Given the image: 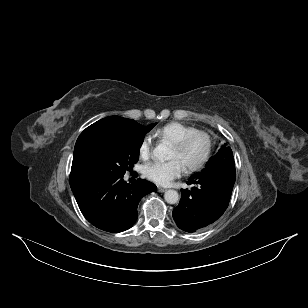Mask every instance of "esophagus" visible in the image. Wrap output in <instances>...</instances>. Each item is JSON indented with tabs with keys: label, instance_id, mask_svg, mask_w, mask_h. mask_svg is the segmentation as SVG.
<instances>
[{
	"label": "esophagus",
	"instance_id": "34e87169",
	"mask_svg": "<svg viewBox=\"0 0 308 308\" xmlns=\"http://www.w3.org/2000/svg\"><path fill=\"white\" fill-rule=\"evenodd\" d=\"M165 191H167L166 188L158 187V192L163 193V192H165Z\"/></svg>",
	"mask_w": 308,
	"mask_h": 308
}]
</instances>
